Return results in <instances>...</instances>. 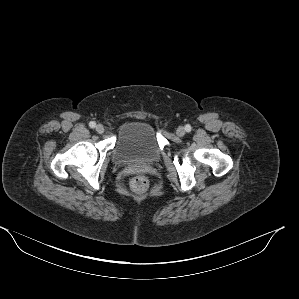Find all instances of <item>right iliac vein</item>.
Listing matches in <instances>:
<instances>
[{"label": "right iliac vein", "instance_id": "1", "mask_svg": "<svg viewBox=\"0 0 299 299\" xmlns=\"http://www.w3.org/2000/svg\"><path fill=\"white\" fill-rule=\"evenodd\" d=\"M95 130H96L97 133L102 134L104 132V126L102 124H98L95 127Z\"/></svg>", "mask_w": 299, "mask_h": 299}]
</instances>
